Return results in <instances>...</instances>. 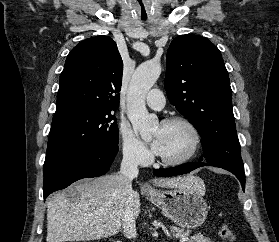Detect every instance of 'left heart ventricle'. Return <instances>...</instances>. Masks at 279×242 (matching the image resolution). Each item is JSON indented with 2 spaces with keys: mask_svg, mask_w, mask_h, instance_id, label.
<instances>
[{
  "mask_svg": "<svg viewBox=\"0 0 279 242\" xmlns=\"http://www.w3.org/2000/svg\"><path fill=\"white\" fill-rule=\"evenodd\" d=\"M152 136L161 141L159 155L169 159L179 158L187 153L191 146V133L182 124L158 125Z\"/></svg>",
  "mask_w": 279,
  "mask_h": 242,
  "instance_id": "b2bd125f",
  "label": "left heart ventricle"
}]
</instances>
